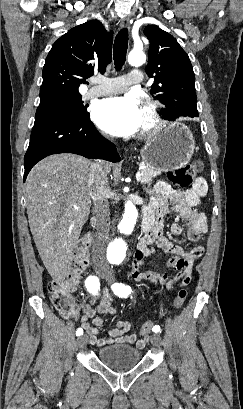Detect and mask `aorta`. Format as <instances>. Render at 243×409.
<instances>
[{
  "label": "aorta",
  "mask_w": 243,
  "mask_h": 409,
  "mask_svg": "<svg viewBox=\"0 0 243 409\" xmlns=\"http://www.w3.org/2000/svg\"><path fill=\"white\" fill-rule=\"evenodd\" d=\"M146 56L141 51H132L128 56V62L132 66H141L145 63ZM138 217V211L136 206L131 202H125V210L122 217V220L119 224L120 233L123 235H129L134 230L136 220ZM111 250L114 254L119 256H124L127 250L126 243L122 237L116 238L111 243Z\"/></svg>",
  "instance_id": "1"
}]
</instances>
